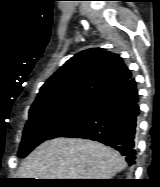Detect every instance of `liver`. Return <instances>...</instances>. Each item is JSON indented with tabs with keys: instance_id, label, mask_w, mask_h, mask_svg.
I'll list each match as a JSON object with an SVG mask.
<instances>
[{
	"instance_id": "6515ba94",
	"label": "liver",
	"mask_w": 160,
	"mask_h": 187,
	"mask_svg": "<svg viewBox=\"0 0 160 187\" xmlns=\"http://www.w3.org/2000/svg\"><path fill=\"white\" fill-rule=\"evenodd\" d=\"M126 166L116 150L81 138H54L21 163L19 178L111 179Z\"/></svg>"
}]
</instances>
